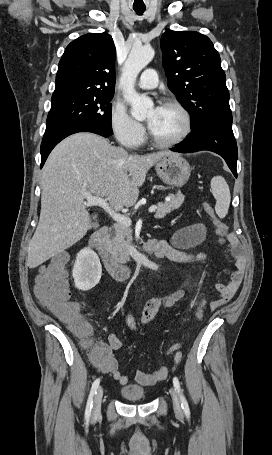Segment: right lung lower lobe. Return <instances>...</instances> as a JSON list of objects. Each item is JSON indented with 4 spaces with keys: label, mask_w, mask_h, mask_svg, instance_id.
Segmentation results:
<instances>
[{
    "label": "right lung lower lobe",
    "mask_w": 272,
    "mask_h": 455,
    "mask_svg": "<svg viewBox=\"0 0 272 455\" xmlns=\"http://www.w3.org/2000/svg\"><path fill=\"white\" fill-rule=\"evenodd\" d=\"M77 132H92L99 134L103 137H109L110 133L100 128L95 124L90 123H78V124H69L61 125L54 128H49L45 130L42 143H41V168L43 167L48 155L52 149L64 138L67 136L77 133Z\"/></svg>",
    "instance_id": "98d812e1"
}]
</instances>
